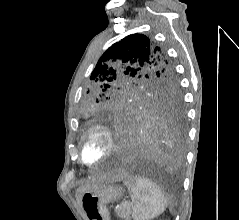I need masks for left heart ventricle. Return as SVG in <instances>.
<instances>
[{
    "instance_id": "b2bd125f",
    "label": "left heart ventricle",
    "mask_w": 239,
    "mask_h": 220,
    "mask_svg": "<svg viewBox=\"0 0 239 220\" xmlns=\"http://www.w3.org/2000/svg\"><path fill=\"white\" fill-rule=\"evenodd\" d=\"M105 143L101 136H92L85 144L83 157L86 161L92 162L97 160L104 152Z\"/></svg>"
}]
</instances>
